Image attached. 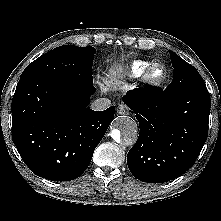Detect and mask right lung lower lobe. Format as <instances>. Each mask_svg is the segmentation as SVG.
<instances>
[{
	"label": "right lung lower lobe",
	"instance_id": "98d812e1",
	"mask_svg": "<svg viewBox=\"0 0 221 221\" xmlns=\"http://www.w3.org/2000/svg\"><path fill=\"white\" fill-rule=\"evenodd\" d=\"M93 84L29 76L20 79L12 100V139L36 175L70 181L88 167L114 118L115 107L89 109Z\"/></svg>",
	"mask_w": 221,
	"mask_h": 221
}]
</instances>
